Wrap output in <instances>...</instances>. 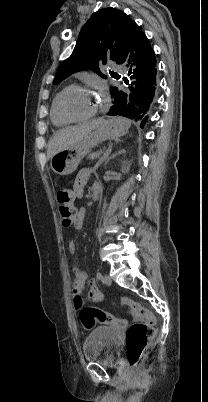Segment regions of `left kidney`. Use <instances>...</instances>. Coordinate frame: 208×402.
Wrapping results in <instances>:
<instances>
[{"instance_id": "1", "label": "left kidney", "mask_w": 208, "mask_h": 402, "mask_svg": "<svg viewBox=\"0 0 208 402\" xmlns=\"http://www.w3.org/2000/svg\"><path fill=\"white\" fill-rule=\"evenodd\" d=\"M124 164H126V162H124ZM121 172H124V174H126V172H129V166H122Z\"/></svg>"}]
</instances>
